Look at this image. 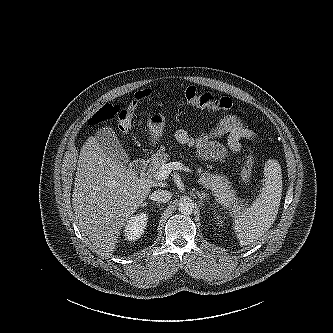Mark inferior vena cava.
<instances>
[{
    "label": "inferior vena cava",
    "mask_w": 333,
    "mask_h": 333,
    "mask_svg": "<svg viewBox=\"0 0 333 333\" xmlns=\"http://www.w3.org/2000/svg\"><path fill=\"white\" fill-rule=\"evenodd\" d=\"M150 198L159 203H166L170 200L171 193L166 190H156L151 194Z\"/></svg>",
    "instance_id": "inferior-vena-cava-1"
}]
</instances>
